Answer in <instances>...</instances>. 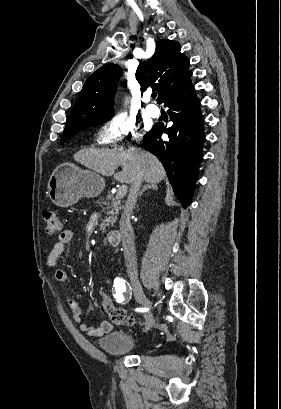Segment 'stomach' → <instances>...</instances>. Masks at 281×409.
Wrapping results in <instances>:
<instances>
[{"mask_svg":"<svg viewBox=\"0 0 281 409\" xmlns=\"http://www.w3.org/2000/svg\"><path fill=\"white\" fill-rule=\"evenodd\" d=\"M105 180L97 172L82 170L73 162H62L53 170L48 180V194L57 207H72L81 196H97Z\"/></svg>","mask_w":281,"mask_h":409,"instance_id":"stomach-1","label":"stomach"}]
</instances>
